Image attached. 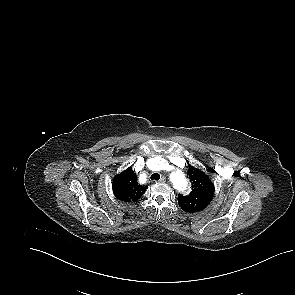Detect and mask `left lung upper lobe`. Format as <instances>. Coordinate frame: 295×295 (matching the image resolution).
Masks as SVG:
<instances>
[{"instance_id":"obj_1","label":"left lung upper lobe","mask_w":295,"mask_h":295,"mask_svg":"<svg viewBox=\"0 0 295 295\" xmlns=\"http://www.w3.org/2000/svg\"><path fill=\"white\" fill-rule=\"evenodd\" d=\"M187 175L192 184V191L188 196H178L179 206L188 213L198 212L207 207L214 195V184L209 178L194 167H190Z\"/></svg>"}]
</instances>
